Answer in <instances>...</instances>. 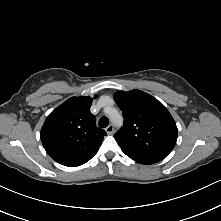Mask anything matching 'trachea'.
Returning a JSON list of instances; mask_svg holds the SVG:
<instances>
[{
    "label": "trachea",
    "instance_id": "3493384b",
    "mask_svg": "<svg viewBox=\"0 0 221 221\" xmlns=\"http://www.w3.org/2000/svg\"><path fill=\"white\" fill-rule=\"evenodd\" d=\"M98 124H99V127L105 128V127L108 126L109 121H108V119L106 117H101L99 122H98Z\"/></svg>",
    "mask_w": 221,
    "mask_h": 221
}]
</instances>
